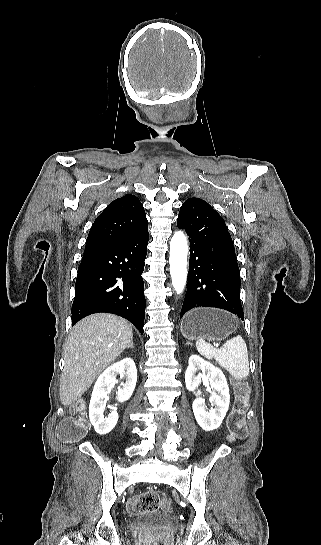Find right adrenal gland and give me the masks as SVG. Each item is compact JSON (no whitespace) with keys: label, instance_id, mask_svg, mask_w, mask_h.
Wrapping results in <instances>:
<instances>
[{"label":"right adrenal gland","instance_id":"right-adrenal-gland-1","mask_svg":"<svg viewBox=\"0 0 321 545\" xmlns=\"http://www.w3.org/2000/svg\"><path fill=\"white\" fill-rule=\"evenodd\" d=\"M127 349H134L133 343H130V345H129V347H127Z\"/></svg>","mask_w":321,"mask_h":545}]
</instances>
